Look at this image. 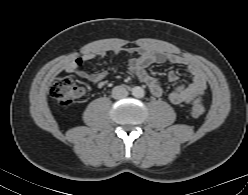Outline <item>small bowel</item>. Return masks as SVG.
<instances>
[{"mask_svg": "<svg viewBox=\"0 0 248 195\" xmlns=\"http://www.w3.org/2000/svg\"><path fill=\"white\" fill-rule=\"evenodd\" d=\"M104 56V52H96L87 54L70 62L65 67L68 73H77L81 78L87 80L92 84L100 85L106 78V72H88L83 69V65L90 59L100 58ZM171 62L173 64L187 65L192 81L185 85H179L174 88L168 95L169 101L173 104H186L191 102L195 97L201 96L206 91V79L204 72L197 64H188L180 56L175 54H168L163 51H154L150 49H142L138 52L136 57H133L128 62V69L140 81L147 85L150 92L159 97L163 93L161 82L156 77L147 73L146 68L153 63ZM166 79L171 82L179 80V76L175 73H169Z\"/></svg>", "mask_w": 248, "mask_h": 195, "instance_id": "small-bowel-1", "label": "small bowel"}]
</instances>
